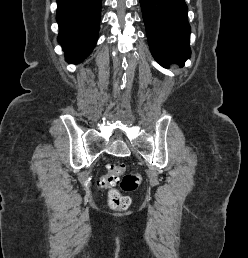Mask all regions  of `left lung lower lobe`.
<instances>
[{
  "label": "left lung lower lobe",
  "mask_w": 248,
  "mask_h": 258,
  "mask_svg": "<svg viewBox=\"0 0 248 258\" xmlns=\"http://www.w3.org/2000/svg\"><path fill=\"white\" fill-rule=\"evenodd\" d=\"M152 55L162 65L190 58V25L184 0H140Z\"/></svg>",
  "instance_id": "left-lung-lower-lobe-1"
}]
</instances>
